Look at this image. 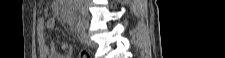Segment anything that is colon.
Wrapping results in <instances>:
<instances>
[{
    "instance_id": "5ec220e1",
    "label": "colon",
    "mask_w": 225,
    "mask_h": 58,
    "mask_svg": "<svg viewBox=\"0 0 225 58\" xmlns=\"http://www.w3.org/2000/svg\"><path fill=\"white\" fill-rule=\"evenodd\" d=\"M79 58H91V52L87 50H82L79 53Z\"/></svg>"
}]
</instances>
